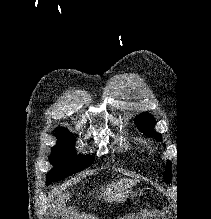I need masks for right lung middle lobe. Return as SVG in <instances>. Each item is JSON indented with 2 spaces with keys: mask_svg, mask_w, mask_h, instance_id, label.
Wrapping results in <instances>:
<instances>
[{
  "mask_svg": "<svg viewBox=\"0 0 211 219\" xmlns=\"http://www.w3.org/2000/svg\"><path fill=\"white\" fill-rule=\"evenodd\" d=\"M58 139L52 148L50 163L54 168L46 175V184L61 180L67 175L79 172L93 163L91 156H76L74 153V138L67 129L59 128L56 131Z\"/></svg>",
  "mask_w": 211,
  "mask_h": 219,
  "instance_id": "dd1d6c3e",
  "label": "right lung middle lobe"
}]
</instances>
